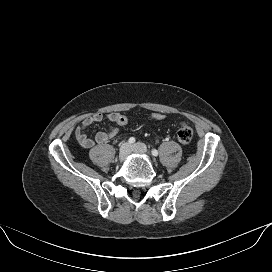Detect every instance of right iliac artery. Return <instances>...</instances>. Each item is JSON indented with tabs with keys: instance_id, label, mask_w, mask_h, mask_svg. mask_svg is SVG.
Returning <instances> with one entry per match:
<instances>
[{
	"instance_id": "obj_1",
	"label": "right iliac artery",
	"mask_w": 272,
	"mask_h": 272,
	"mask_svg": "<svg viewBox=\"0 0 272 272\" xmlns=\"http://www.w3.org/2000/svg\"><path fill=\"white\" fill-rule=\"evenodd\" d=\"M128 142L130 144H133L135 142V138L134 137H130L129 140H128Z\"/></svg>"
}]
</instances>
